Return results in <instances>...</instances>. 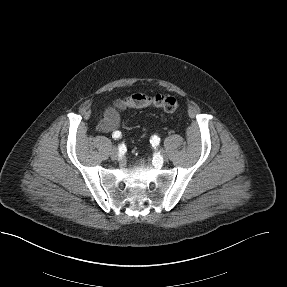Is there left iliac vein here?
Listing matches in <instances>:
<instances>
[{"label":"left iliac vein","instance_id":"4c4485c4","mask_svg":"<svg viewBox=\"0 0 287 287\" xmlns=\"http://www.w3.org/2000/svg\"><path fill=\"white\" fill-rule=\"evenodd\" d=\"M167 155L165 153H161L159 158L156 160V165H160L163 161H167Z\"/></svg>","mask_w":287,"mask_h":287}]
</instances>
